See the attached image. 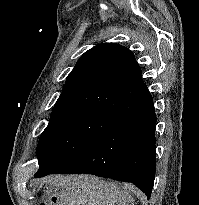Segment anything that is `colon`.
<instances>
[{
	"label": "colon",
	"instance_id": "1",
	"mask_svg": "<svg viewBox=\"0 0 199 205\" xmlns=\"http://www.w3.org/2000/svg\"><path fill=\"white\" fill-rule=\"evenodd\" d=\"M53 205H56V202L55 201H53V203H52Z\"/></svg>",
	"mask_w": 199,
	"mask_h": 205
}]
</instances>
